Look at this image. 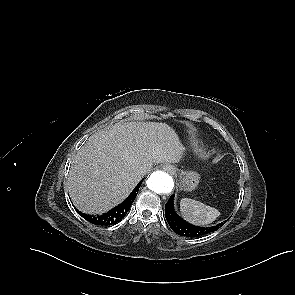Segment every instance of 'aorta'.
Instances as JSON below:
<instances>
[{"mask_svg": "<svg viewBox=\"0 0 295 295\" xmlns=\"http://www.w3.org/2000/svg\"><path fill=\"white\" fill-rule=\"evenodd\" d=\"M147 187L157 194H168L174 187L173 178L164 171H155L147 179Z\"/></svg>", "mask_w": 295, "mask_h": 295, "instance_id": "762f6f07", "label": "aorta"}]
</instances>
